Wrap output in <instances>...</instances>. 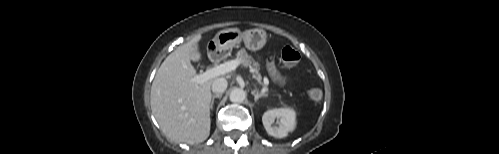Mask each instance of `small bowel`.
Wrapping results in <instances>:
<instances>
[{
	"mask_svg": "<svg viewBox=\"0 0 499 154\" xmlns=\"http://www.w3.org/2000/svg\"><path fill=\"white\" fill-rule=\"evenodd\" d=\"M267 67L275 82L279 84L285 83L286 81L285 77L278 71V69L276 68L275 64L272 61H269L267 63Z\"/></svg>",
	"mask_w": 499,
	"mask_h": 154,
	"instance_id": "1",
	"label": "small bowel"
}]
</instances>
